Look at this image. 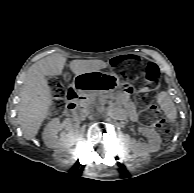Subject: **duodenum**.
<instances>
[{
    "instance_id": "1",
    "label": "duodenum",
    "mask_w": 194,
    "mask_h": 193,
    "mask_svg": "<svg viewBox=\"0 0 194 193\" xmlns=\"http://www.w3.org/2000/svg\"><path fill=\"white\" fill-rule=\"evenodd\" d=\"M85 105H86L85 96L78 94L74 91L69 92L66 110L68 116L72 117L81 115Z\"/></svg>"
}]
</instances>
